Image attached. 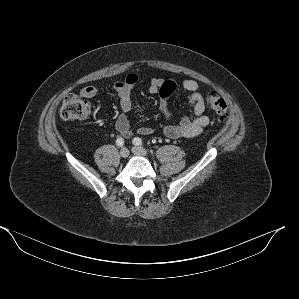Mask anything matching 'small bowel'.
I'll return each mask as SVG.
<instances>
[{"label":"small bowel","instance_id":"c3829d8e","mask_svg":"<svg viewBox=\"0 0 299 299\" xmlns=\"http://www.w3.org/2000/svg\"><path fill=\"white\" fill-rule=\"evenodd\" d=\"M138 78L135 74H127L123 80L115 81L109 88L115 91L120 99L122 114L116 120V130L122 139H128L132 135V128L127 114L132 109L131 92L137 84ZM181 88L190 93L189 114L176 118L172 112L171 96ZM199 83L195 80H184L178 85L170 77L152 78L149 82L148 90L152 94L160 95V109L164 117L161 124L163 134L169 138L193 137L202 132L209 124L210 117L205 114L206 105L204 97L199 91ZM100 89L96 86H86L80 91L83 98L95 97ZM142 135H149L153 132L151 127L142 126L138 129Z\"/></svg>","mask_w":299,"mask_h":299}]
</instances>
